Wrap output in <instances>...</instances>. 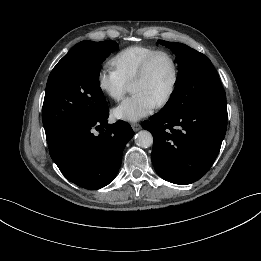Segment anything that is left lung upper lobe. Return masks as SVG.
I'll use <instances>...</instances> for the list:
<instances>
[{
    "instance_id": "1",
    "label": "left lung upper lobe",
    "mask_w": 261,
    "mask_h": 261,
    "mask_svg": "<svg viewBox=\"0 0 261 261\" xmlns=\"http://www.w3.org/2000/svg\"><path fill=\"white\" fill-rule=\"evenodd\" d=\"M159 43L175 53L179 65L177 89L164 111L184 114L203 105L226 102L218 74L205 55L182 43Z\"/></svg>"
}]
</instances>
